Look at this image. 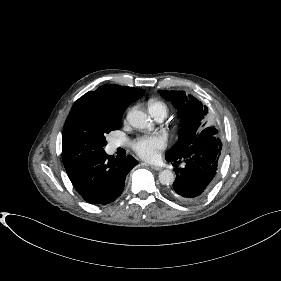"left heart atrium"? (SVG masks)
<instances>
[{"mask_svg": "<svg viewBox=\"0 0 281 281\" xmlns=\"http://www.w3.org/2000/svg\"><path fill=\"white\" fill-rule=\"evenodd\" d=\"M166 146L162 136H144L136 140L133 148L136 153L145 160H155L159 152Z\"/></svg>", "mask_w": 281, "mask_h": 281, "instance_id": "1", "label": "left heart atrium"}]
</instances>
